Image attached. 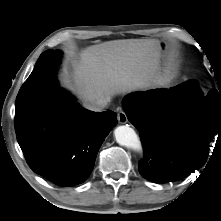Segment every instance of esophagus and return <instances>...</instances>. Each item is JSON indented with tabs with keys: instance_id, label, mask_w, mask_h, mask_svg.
Returning a JSON list of instances; mask_svg holds the SVG:
<instances>
[{
	"instance_id": "34e87169",
	"label": "esophagus",
	"mask_w": 221,
	"mask_h": 221,
	"mask_svg": "<svg viewBox=\"0 0 221 221\" xmlns=\"http://www.w3.org/2000/svg\"><path fill=\"white\" fill-rule=\"evenodd\" d=\"M117 118H118L119 123H121V124H125L128 121L127 115L123 110H120L118 112Z\"/></svg>"
}]
</instances>
